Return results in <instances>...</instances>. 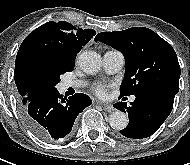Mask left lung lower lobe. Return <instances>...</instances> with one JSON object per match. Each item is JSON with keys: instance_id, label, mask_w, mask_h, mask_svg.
Masks as SVG:
<instances>
[{"instance_id": "0a47b994", "label": "left lung lower lobe", "mask_w": 190, "mask_h": 165, "mask_svg": "<svg viewBox=\"0 0 190 165\" xmlns=\"http://www.w3.org/2000/svg\"><path fill=\"white\" fill-rule=\"evenodd\" d=\"M176 94L164 90H150L135 95L127 107L118 102L114 107L128 112L129 124L120 133L127 138L141 139L153 135L169 116Z\"/></svg>"}]
</instances>
